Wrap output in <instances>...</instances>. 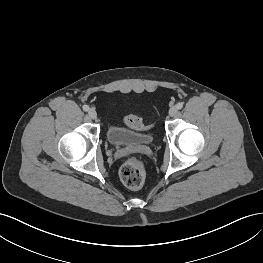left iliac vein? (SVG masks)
<instances>
[{"mask_svg": "<svg viewBox=\"0 0 263 263\" xmlns=\"http://www.w3.org/2000/svg\"><path fill=\"white\" fill-rule=\"evenodd\" d=\"M177 107H175V106H172L171 108H170V110H169V115L170 116H175L176 114H177Z\"/></svg>", "mask_w": 263, "mask_h": 263, "instance_id": "4c4485c4", "label": "left iliac vein"}]
</instances>
